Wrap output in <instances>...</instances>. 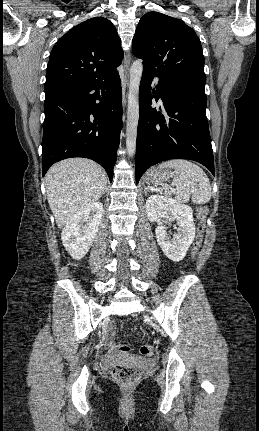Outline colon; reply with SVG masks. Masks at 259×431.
<instances>
[{"instance_id":"1","label":"colon","mask_w":259,"mask_h":431,"mask_svg":"<svg viewBox=\"0 0 259 431\" xmlns=\"http://www.w3.org/2000/svg\"><path fill=\"white\" fill-rule=\"evenodd\" d=\"M208 207L207 206H200L197 209V232L195 241L192 247V259L195 260L202 245L204 232L206 228V218L208 214ZM130 350V347L128 345H119L114 344L112 346V351L116 352H122L127 353ZM140 354L144 357H151L153 356V348L149 345H143L139 349ZM112 376L113 378L125 385H131L138 381L140 378V372L138 369L127 366V365H115L112 369Z\"/></svg>"}]
</instances>
